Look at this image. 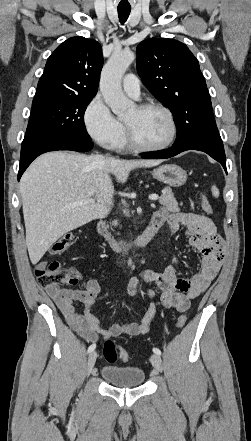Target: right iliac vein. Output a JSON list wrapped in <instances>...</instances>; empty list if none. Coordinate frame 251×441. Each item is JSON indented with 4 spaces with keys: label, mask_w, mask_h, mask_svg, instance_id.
<instances>
[{
    "label": "right iliac vein",
    "mask_w": 251,
    "mask_h": 441,
    "mask_svg": "<svg viewBox=\"0 0 251 441\" xmlns=\"http://www.w3.org/2000/svg\"><path fill=\"white\" fill-rule=\"evenodd\" d=\"M97 359V353L96 352H92L89 357H88V361H87V375H90V373L92 372L95 362Z\"/></svg>",
    "instance_id": "obj_1"
}]
</instances>
